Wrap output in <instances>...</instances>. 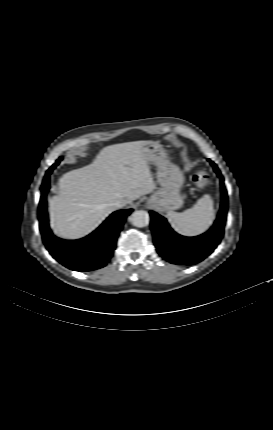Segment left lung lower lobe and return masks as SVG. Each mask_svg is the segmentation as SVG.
Segmentation results:
<instances>
[{"instance_id":"1","label":"left lung lower lobe","mask_w":273,"mask_h":430,"mask_svg":"<svg viewBox=\"0 0 273 430\" xmlns=\"http://www.w3.org/2000/svg\"><path fill=\"white\" fill-rule=\"evenodd\" d=\"M222 185V204L214 225L204 234L196 237H184L174 232L166 219L151 211V227L157 252L168 262L180 265H192L201 262L220 243L226 222L228 196L224 178L217 165L208 159Z\"/></svg>"}]
</instances>
